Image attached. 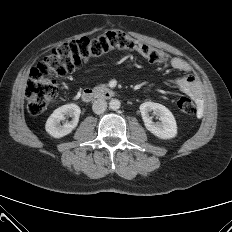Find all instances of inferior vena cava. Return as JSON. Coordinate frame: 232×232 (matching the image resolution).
<instances>
[{"label":"inferior vena cava","instance_id":"obj_1","mask_svg":"<svg viewBox=\"0 0 232 232\" xmlns=\"http://www.w3.org/2000/svg\"><path fill=\"white\" fill-rule=\"evenodd\" d=\"M107 108V102L103 99H97L92 105L93 112L96 114H102Z\"/></svg>","mask_w":232,"mask_h":232}]
</instances>
